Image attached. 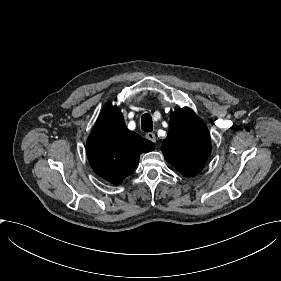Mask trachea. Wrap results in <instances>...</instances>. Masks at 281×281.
Returning <instances> with one entry per match:
<instances>
[{
  "label": "trachea",
  "instance_id": "trachea-1",
  "mask_svg": "<svg viewBox=\"0 0 281 281\" xmlns=\"http://www.w3.org/2000/svg\"><path fill=\"white\" fill-rule=\"evenodd\" d=\"M152 128V118L149 114L145 113L141 118V129L145 132H151Z\"/></svg>",
  "mask_w": 281,
  "mask_h": 281
}]
</instances>
